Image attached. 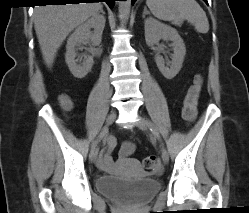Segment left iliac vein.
I'll use <instances>...</instances> for the list:
<instances>
[{"mask_svg": "<svg viewBox=\"0 0 249 213\" xmlns=\"http://www.w3.org/2000/svg\"><path fill=\"white\" fill-rule=\"evenodd\" d=\"M136 125H137V127H139V128L142 129V130H148L149 127H150V125H149V123L147 122V120H145V119L142 118V117H139V119H138ZM161 156H162L163 162H164L165 164L168 163V161H169V155H168V152H167V150H166L165 148H162V154H161Z\"/></svg>", "mask_w": 249, "mask_h": 213, "instance_id": "1", "label": "left iliac vein"}]
</instances>
